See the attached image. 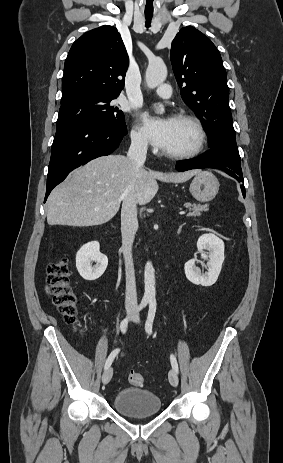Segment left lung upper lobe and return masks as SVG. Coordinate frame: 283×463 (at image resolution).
<instances>
[{
	"instance_id": "left-lung-upper-lobe-1",
	"label": "left lung upper lobe",
	"mask_w": 283,
	"mask_h": 463,
	"mask_svg": "<svg viewBox=\"0 0 283 463\" xmlns=\"http://www.w3.org/2000/svg\"><path fill=\"white\" fill-rule=\"evenodd\" d=\"M170 58L181 96L201 119L210 147L240 157L228 104L227 75L215 45L196 28L183 27L172 42Z\"/></svg>"
}]
</instances>
